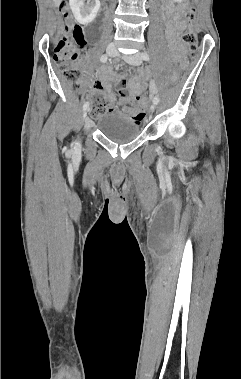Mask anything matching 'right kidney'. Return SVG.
Wrapping results in <instances>:
<instances>
[{"mask_svg": "<svg viewBox=\"0 0 241 379\" xmlns=\"http://www.w3.org/2000/svg\"><path fill=\"white\" fill-rule=\"evenodd\" d=\"M69 0V6L76 19L82 25L90 24L100 9L99 0Z\"/></svg>", "mask_w": 241, "mask_h": 379, "instance_id": "right-kidney-1", "label": "right kidney"}]
</instances>
